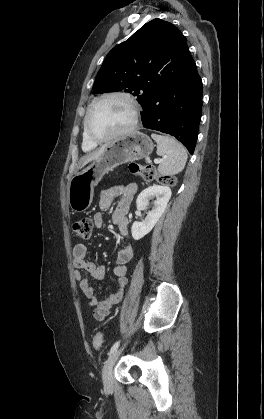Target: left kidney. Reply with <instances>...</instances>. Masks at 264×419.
<instances>
[{
	"instance_id": "5707ae66",
	"label": "left kidney",
	"mask_w": 264,
	"mask_h": 419,
	"mask_svg": "<svg viewBox=\"0 0 264 419\" xmlns=\"http://www.w3.org/2000/svg\"><path fill=\"white\" fill-rule=\"evenodd\" d=\"M155 198L152 210L142 222H134L131 227V233L134 240H139L147 235L158 222L164 213L167 204L171 198V189L168 186L153 185L144 189L137 197V208L145 207L149 200Z\"/></svg>"
}]
</instances>
